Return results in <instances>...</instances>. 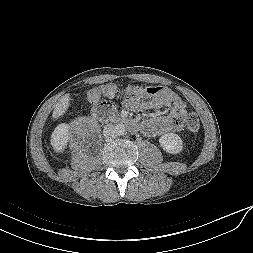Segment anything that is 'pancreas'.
<instances>
[{
	"label": "pancreas",
	"instance_id": "cf45deb5",
	"mask_svg": "<svg viewBox=\"0 0 253 253\" xmlns=\"http://www.w3.org/2000/svg\"><path fill=\"white\" fill-rule=\"evenodd\" d=\"M114 119V117L113 116H111L110 118H109V120H113Z\"/></svg>",
	"mask_w": 253,
	"mask_h": 253
}]
</instances>
